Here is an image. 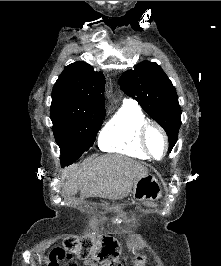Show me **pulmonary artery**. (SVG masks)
<instances>
[{"label":"pulmonary artery","mask_w":221,"mask_h":266,"mask_svg":"<svg viewBox=\"0 0 221 266\" xmlns=\"http://www.w3.org/2000/svg\"><path fill=\"white\" fill-rule=\"evenodd\" d=\"M124 104L137 105V102L134 99H125Z\"/></svg>","instance_id":"pulmonary-artery-1"}]
</instances>
